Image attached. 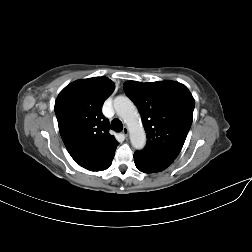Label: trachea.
I'll use <instances>...</instances> for the list:
<instances>
[{
	"instance_id": "1",
	"label": "trachea",
	"mask_w": 252,
	"mask_h": 252,
	"mask_svg": "<svg viewBox=\"0 0 252 252\" xmlns=\"http://www.w3.org/2000/svg\"><path fill=\"white\" fill-rule=\"evenodd\" d=\"M111 127L113 130L120 132L123 128V125L119 119H113L111 122Z\"/></svg>"
}]
</instances>
